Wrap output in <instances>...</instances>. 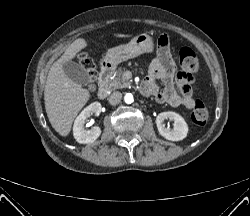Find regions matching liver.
<instances>
[{"mask_svg":"<svg viewBox=\"0 0 250 216\" xmlns=\"http://www.w3.org/2000/svg\"><path fill=\"white\" fill-rule=\"evenodd\" d=\"M115 38H129L131 35L114 34ZM87 47L83 38L70 44L64 54L51 66L44 90L45 109L52 127L61 135L67 136L72 123L90 98V93L72 81L64 72L63 66L78 52Z\"/></svg>","mask_w":250,"mask_h":216,"instance_id":"obj_1","label":"liver"}]
</instances>
